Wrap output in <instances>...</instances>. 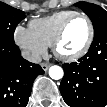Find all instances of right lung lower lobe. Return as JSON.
Listing matches in <instances>:
<instances>
[{
  "label": "right lung lower lobe",
  "mask_w": 107,
  "mask_h": 107,
  "mask_svg": "<svg viewBox=\"0 0 107 107\" xmlns=\"http://www.w3.org/2000/svg\"><path fill=\"white\" fill-rule=\"evenodd\" d=\"M43 73L21 56L18 46L0 42V107H25L35 78Z\"/></svg>",
  "instance_id": "98d812e1"
}]
</instances>
